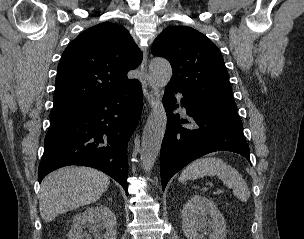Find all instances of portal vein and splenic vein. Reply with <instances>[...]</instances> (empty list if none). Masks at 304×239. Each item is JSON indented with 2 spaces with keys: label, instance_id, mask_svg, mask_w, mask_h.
Returning a JSON list of instances; mask_svg holds the SVG:
<instances>
[{
  "label": "portal vein and splenic vein",
  "instance_id": "1",
  "mask_svg": "<svg viewBox=\"0 0 304 239\" xmlns=\"http://www.w3.org/2000/svg\"><path fill=\"white\" fill-rule=\"evenodd\" d=\"M222 191L221 190H216V193H221Z\"/></svg>",
  "mask_w": 304,
  "mask_h": 239
}]
</instances>
